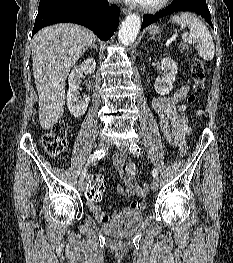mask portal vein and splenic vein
<instances>
[{"instance_id": "1", "label": "portal vein and splenic vein", "mask_w": 233, "mask_h": 263, "mask_svg": "<svg viewBox=\"0 0 233 263\" xmlns=\"http://www.w3.org/2000/svg\"><path fill=\"white\" fill-rule=\"evenodd\" d=\"M182 40L184 41H188V42H192V40L190 38H188V35L187 33H184L182 36H181Z\"/></svg>"}]
</instances>
